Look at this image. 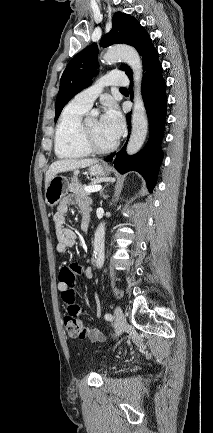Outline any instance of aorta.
Returning <instances> with one entry per match:
<instances>
[{
    "label": "aorta",
    "mask_w": 213,
    "mask_h": 433,
    "mask_svg": "<svg viewBox=\"0 0 213 433\" xmlns=\"http://www.w3.org/2000/svg\"><path fill=\"white\" fill-rule=\"evenodd\" d=\"M123 60L132 69L134 79V107L132 113V131L127 145V153L133 155L142 147L147 131L148 120L146 109L141 95L142 80V61L138 52L133 48L125 45L110 47L103 56V62L113 63L117 60ZM105 223L101 222L95 232L94 237V258L97 268H102L105 260Z\"/></svg>",
    "instance_id": "1"
}]
</instances>
